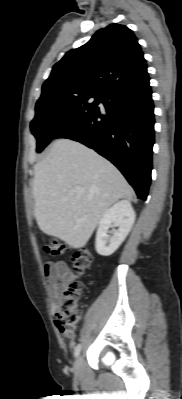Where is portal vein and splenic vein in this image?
<instances>
[{"instance_id": "obj_1", "label": "portal vein and splenic vein", "mask_w": 182, "mask_h": 399, "mask_svg": "<svg viewBox=\"0 0 182 399\" xmlns=\"http://www.w3.org/2000/svg\"><path fill=\"white\" fill-rule=\"evenodd\" d=\"M77 191H78V193H83L84 189L79 187V188H77Z\"/></svg>"}]
</instances>
